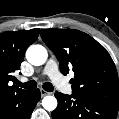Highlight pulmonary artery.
Instances as JSON below:
<instances>
[{
	"instance_id": "e3ab8cb5",
	"label": "pulmonary artery",
	"mask_w": 119,
	"mask_h": 119,
	"mask_svg": "<svg viewBox=\"0 0 119 119\" xmlns=\"http://www.w3.org/2000/svg\"><path fill=\"white\" fill-rule=\"evenodd\" d=\"M43 74L47 75L54 84L58 86V88L63 92H69V86L63 81V77L59 73L58 64L54 59H49L46 63ZM25 78H22V81H25Z\"/></svg>"
}]
</instances>
